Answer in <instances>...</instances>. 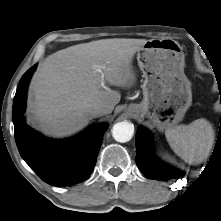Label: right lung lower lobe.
I'll list each match as a JSON object with an SVG mask.
<instances>
[{
  "label": "right lung lower lobe",
  "instance_id": "right-lung-lower-lobe-1",
  "mask_svg": "<svg viewBox=\"0 0 221 221\" xmlns=\"http://www.w3.org/2000/svg\"><path fill=\"white\" fill-rule=\"evenodd\" d=\"M36 65L21 78L13 102L15 140L24 161L46 183L68 186L85 180L92 172L107 124L91 126L66 140H50L25 122L27 85Z\"/></svg>",
  "mask_w": 221,
  "mask_h": 221
}]
</instances>
